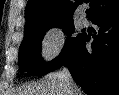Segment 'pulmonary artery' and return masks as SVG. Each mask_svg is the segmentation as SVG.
I'll return each instance as SVG.
<instances>
[{
	"instance_id": "pulmonary-artery-1",
	"label": "pulmonary artery",
	"mask_w": 119,
	"mask_h": 95,
	"mask_svg": "<svg viewBox=\"0 0 119 95\" xmlns=\"http://www.w3.org/2000/svg\"><path fill=\"white\" fill-rule=\"evenodd\" d=\"M79 23L81 26H86L87 25V19L84 16H81L79 19Z\"/></svg>"
}]
</instances>
